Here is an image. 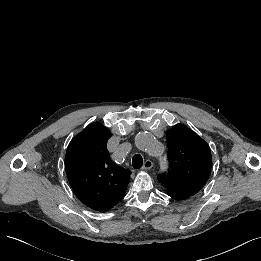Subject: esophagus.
Returning <instances> with one entry per match:
<instances>
[{"mask_svg":"<svg viewBox=\"0 0 261 261\" xmlns=\"http://www.w3.org/2000/svg\"><path fill=\"white\" fill-rule=\"evenodd\" d=\"M153 167V163L151 160H146L144 165H143V169L147 170V169H151Z\"/></svg>","mask_w":261,"mask_h":261,"instance_id":"obj_1","label":"esophagus"}]
</instances>
